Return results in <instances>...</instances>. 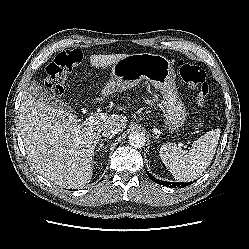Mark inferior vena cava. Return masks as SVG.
<instances>
[{"label": "inferior vena cava", "instance_id": "602c4592", "mask_svg": "<svg viewBox=\"0 0 249 249\" xmlns=\"http://www.w3.org/2000/svg\"><path fill=\"white\" fill-rule=\"evenodd\" d=\"M119 132H120V129L114 125H109L102 129V135L105 137H112Z\"/></svg>", "mask_w": 249, "mask_h": 249}]
</instances>
